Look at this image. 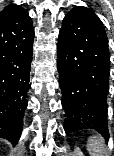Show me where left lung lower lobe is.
I'll return each mask as SVG.
<instances>
[{
  "mask_svg": "<svg viewBox=\"0 0 114 156\" xmlns=\"http://www.w3.org/2000/svg\"><path fill=\"white\" fill-rule=\"evenodd\" d=\"M57 57L65 132L92 128L108 140V39L101 20L91 9L78 6L65 16Z\"/></svg>",
  "mask_w": 114,
  "mask_h": 156,
  "instance_id": "1",
  "label": "left lung lower lobe"
}]
</instances>
